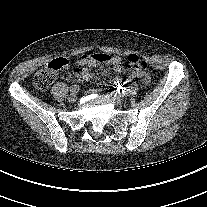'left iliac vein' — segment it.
Listing matches in <instances>:
<instances>
[{"label":"left iliac vein","mask_w":207,"mask_h":207,"mask_svg":"<svg viewBox=\"0 0 207 207\" xmlns=\"http://www.w3.org/2000/svg\"><path fill=\"white\" fill-rule=\"evenodd\" d=\"M91 91L92 92H97L96 89H92ZM106 97L116 106L122 104V99L118 96H111V95L107 94Z\"/></svg>","instance_id":"1"}]
</instances>
